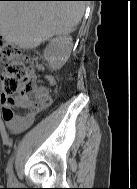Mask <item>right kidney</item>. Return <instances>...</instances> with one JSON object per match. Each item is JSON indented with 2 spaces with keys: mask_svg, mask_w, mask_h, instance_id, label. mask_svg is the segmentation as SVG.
Segmentation results:
<instances>
[{
  "mask_svg": "<svg viewBox=\"0 0 137 189\" xmlns=\"http://www.w3.org/2000/svg\"><path fill=\"white\" fill-rule=\"evenodd\" d=\"M73 43L68 34H59L44 50V57L53 70L60 69L70 57Z\"/></svg>",
  "mask_w": 137,
  "mask_h": 189,
  "instance_id": "right-kidney-1",
  "label": "right kidney"
}]
</instances>
